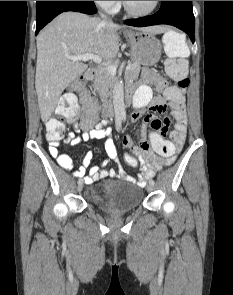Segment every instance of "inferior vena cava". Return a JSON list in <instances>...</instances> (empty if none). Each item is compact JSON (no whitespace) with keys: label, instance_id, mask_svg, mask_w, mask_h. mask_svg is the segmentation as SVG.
Here are the masks:
<instances>
[{"label":"inferior vena cava","instance_id":"1","mask_svg":"<svg viewBox=\"0 0 233 295\" xmlns=\"http://www.w3.org/2000/svg\"><path fill=\"white\" fill-rule=\"evenodd\" d=\"M101 17L103 18L104 21H107V17L104 14H101Z\"/></svg>","mask_w":233,"mask_h":295}]
</instances>
